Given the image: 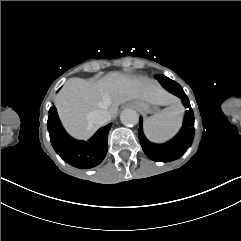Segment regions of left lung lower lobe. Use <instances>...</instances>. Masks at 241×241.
Instances as JSON below:
<instances>
[{"label": "left lung lower lobe", "mask_w": 241, "mask_h": 241, "mask_svg": "<svg viewBox=\"0 0 241 241\" xmlns=\"http://www.w3.org/2000/svg\"><path fill=\"white\" fill-rule=\"evenodd\" d=\"M155 78L166 90L179 97L185 108H187L183 121V127L180 132L171 141L165 144H154L146 139L142 129V118H140L139 140L144 153L151 160L169 162L181 157L192 144L195 131L194 116L189 99L177 82L164 75H156Z\"/></svg>", "instance_id": "0a47b994"}]
</instances>
